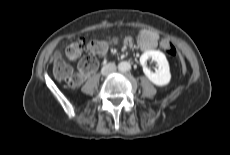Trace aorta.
Wrapping results in <instances>:
<instances>
[{"label":"aorta","instance_id":"762f6f07","mask_svg":"<svg viewBox=\"0 0 230 155\" xmlns=\"http://www.w3.org/2000/svg\"><path fill=\"white\" fill-rule=\"evenodd\" d=\"M130 69H131V65H130L129 62L124 61V62H121V63L119 64V70H120V71L125 72V71H128V70H130Z\"/></svg>","mask_w":230,"mask_h":155}]
</instances>
